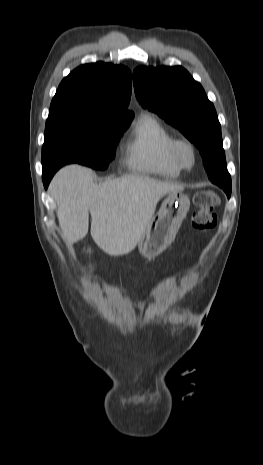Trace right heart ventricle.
I'll use <instances>...</instances> for the list:
<instances>
[{"mask_svg": "<svg viewBox=\"0 0 263 465\" xmlns=\"http://www.w3.org/2000/svg\"><path fill=\"white\" fill-rule=\"evenodd\" d=\"M174 137L153 116L141 115L124 144L125 163L134 172L176 178L181 168L171 157Z\"/></svg>", "mask_w": 263, "mask_h": 465, "instance_id": "obj_1", "label": "right heart ventricle"}]
</instances>
